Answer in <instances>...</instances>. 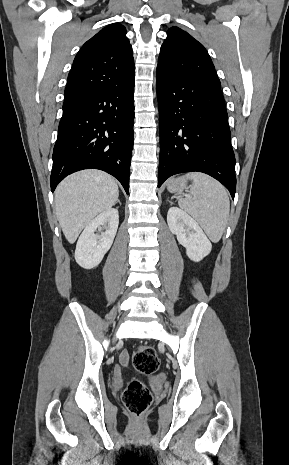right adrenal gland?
Returning a JSON list of instances; mask_svg holds the SVG:
<instances>
[{
	"instance_id": "2a0ac1e0",
	"label": "right adrenal gland",
	"mask_w": 289,
	"mask_h": 465,
	"mask_svg": "<svg viewBox=\"0 0 289 465\" xmlns=\"http://www.w3.org/2000/svg\"><path fill=\"white\" fill-rule=\"evenodd\" d=\"M116 203H119V205H121V202H120V200H119V199H117Z\"/></svg>"
}]
</instances>
